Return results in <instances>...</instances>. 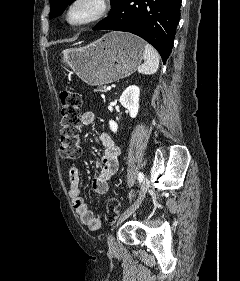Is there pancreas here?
I'll use <instances>...</instances> for the list:
<instances>
[{"mask_svg":"<svg viewBox=\"0 0 240 281\" xmlns=\"http://www.w3.org/2000/svg\"><path fill=\"white\" fill-rule=\"evenodd\" d=\"M95 92H107L106 86L99 87L98 89L94 90Z\"/></svg>","mask_w":240,"mask_h":281,"instance_id":"pancreas-1","label":"pancreas"}]
</instances>
